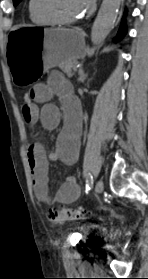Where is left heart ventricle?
<instances>
[{
  "label": "left heart ventricle",
  "instance_id": "left-heart-ventricle-1",
  "mask_svg": "<svg viewBox=\"0 0 148 279\" xmlns=\"http://www.w3.org/2000/svg\"><path fill=\"white\" fill-rule=\"evenodd\" d=\"M42 5L63 18L80 17L83 13L79 0H42Z\"/></svg>",
  "mask_w": 148,
  "mask_h": 279
}]
</instances>
